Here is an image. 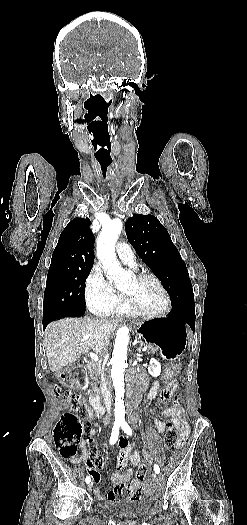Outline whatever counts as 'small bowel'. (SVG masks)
Masks as SVG:
<instances>
[{"label":"small bowel","mask_w":247,"mask_h":525,"mask_svg":"<svg viewBox=\"0 0 247 525\" xmlns=\"http://www.w3.org/2000/svg\"><path fill=\"white\" fill-rule=\"evenodd\" d=\"M167 376H170V374L168 373ZM167 388H170L175 393L178 388V382L176 380L171 381ZM158 392L159 387H156L153 383L150 390L146 394V399H155L158 395ZM182 414L183 410L178 401H176L173 406L163 409L155 420L157 432L159 434L163 433L167 423L170 422L177 427L180 437L182 439L186 438L188 435V428L182 417ZM88 443L89 439L84 438L81 441L82 455L79 457L72 456L70 457V461L76 465L84 464L88 474L90 475V479L92 481H99L102 480V475L95 474V472H97V468L103 469L105 467V462L103 457L99 456L95 450H91L90 452L88 451ZM117 445L120 449L116 457L117 470L110 477L111 482L114 484V488L106 495L103 494V491L100 488H97L94 491L95 496L103 499L105 506H118L120 504L119 495H121L122 487L125 486L132 477V471L127 469L129 462L133 466L137 467L141 463V459H143L146 464H150L153 460L161 462L163 459L160 451L156 447H153L150 450H132L128 439L124 436L118 437ZM95 462L97 468L95 467ZM97 485H100V482H97ZM131 488L132 490L137 491L139 490L140 485L139 483L134 482L132 483ZM140 498L141 495L132 496L128 499L131 501H138Z\"/></svg>","instance_id":"small-bowel-1"}]
</instances>
